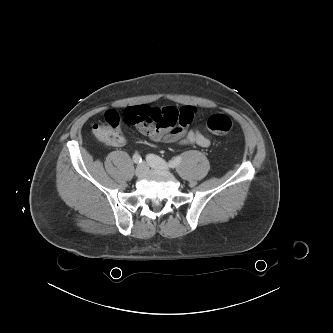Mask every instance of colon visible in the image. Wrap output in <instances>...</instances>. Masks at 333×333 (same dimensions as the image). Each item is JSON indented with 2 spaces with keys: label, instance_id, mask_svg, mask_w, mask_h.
Here are the masks:
<instances>
[{
  "label": "colon",
  "instance_id": "colon-1",
  "mask_svg": "<svg viewBox=\"0 0 333 333\" xmlns=\"http://www.w3.org/2000/svg\"><path fill=\"white\" fill-rule=\"evenodd\" d=\"M121 117L116 111H108L103 122H96L92 126L94 136L101 142L111 145L115 140V134L120 126ZM206 126L210 132L216 135H225L232 128L231 119L224 114H214L207 120Z\"/></svg>",
  "mask_w": 333,
  "mask_h": 333
}]
</instances>
